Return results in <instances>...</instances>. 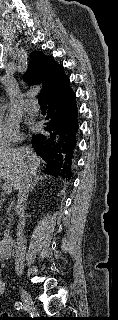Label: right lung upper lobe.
<instances>
[{
  "instance_id": "obj_1",
  "label": "right lung upper lobe",
  "mask_w": 118,
  "mask_h": 320,
  "mask_svg": "<svg viewBox=\"0 0 118 320\" xmlns=\"http://www.w3.org/2000/svg\"><path fill=\"white\" fill-rule=\"evenodd\" d=\"M24 78L30 85L43 86L40 96L45 100L69 86V78L64 74L63 66L55 63L53 57L45 56L38 51L30 55L29 67Z\"/></svg>"
}]
</instances>
